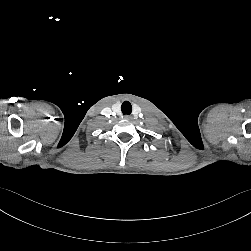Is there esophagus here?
I'll use <instances>...</instances> for the list:
<instances>
[{"mask_svg": "<svg viewBox=\"0 0 251 251\" xmlns=\"http://www.w3.org/2000/svg\"><path fill=\"white\" fill-rule=\"evenodd\" d=\"M124 118H125V119H131V116L125 115Z\"/></svg>", "mask_w": 251, "mask_h": 251, "instance_id": "1", "label": "esophagus"}]
</instances>
